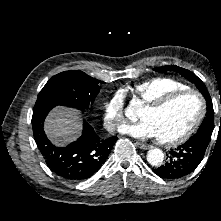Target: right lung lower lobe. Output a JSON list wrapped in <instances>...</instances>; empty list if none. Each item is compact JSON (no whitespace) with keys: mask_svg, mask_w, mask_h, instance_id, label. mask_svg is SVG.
<instances>
[{"mask_svg":"<svg viewBox=\"0 0 221 221\" xmlns=\"http://www.w3.org/2000/svg\"><path fill=\"white\" fill-rule=\"evenodd\" d=\"M53 107L55 105L51 102L35 103L32 128L38 149L47 166L61 178L69 181L90 178L106 161L117 137L100 138L84 121L82 135L77 141L66 147H57L48 140L43 130L44 119Z\"/></svg>","mask_w":221,"mask_h":221,"instance_id":"98d812e1","label":"right lung lower lobe"}]
</instances>
